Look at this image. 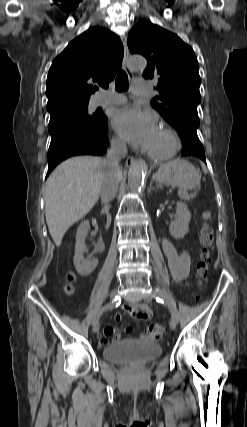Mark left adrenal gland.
<instances>
[{
    "instance_id": "obj_1",
    "label": "left adrenal gland",
    "mask_w": 247,
    "mask_h": 427,
    "mask_svg": "<svg viewBox=\"0 0 247 427\" xmlns=\"http://www.w3.org/2000/svg\"><path fill=\"white\" fill-rule=\"evenodd\" d=\"M152 190H155V188H153L152 183L149 186L148 192L150 193Z\"/></svg>"
}]
</instances>
